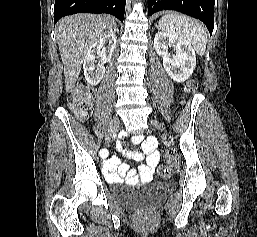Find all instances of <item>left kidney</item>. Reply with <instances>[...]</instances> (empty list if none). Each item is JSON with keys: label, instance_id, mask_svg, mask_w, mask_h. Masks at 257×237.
Returning <instances> with one entry per match:
<instances>
[{"label": "left kidney", "instance_id": "1", "mask_svg": "<svg viewBox=\"0 0 257 237\" xmlns=\"http://www.w3.org/2000/svg\"><path fill=\"white\" fill-rule=\"evenodd\" d=\"M173 47L176 54H171ZM154 48L163 58V67L176 82L186 81L196 67V56L192 45L183 38L166 32H158L154 38Z\"/></svg>", "mask_w": 257, "mask_h": 237}]
</instances>
